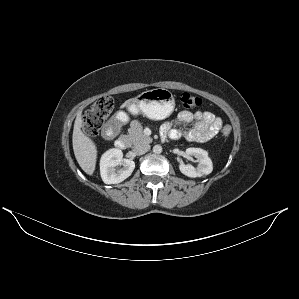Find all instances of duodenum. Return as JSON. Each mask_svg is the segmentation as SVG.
<instances>
[{"mask_svg":"<svg viewBox=\"0 0 299 299\" xmlns=\"http://www.w3.org/2000/svg\"><path fill=\"white\" fill-rule=\"evenodd\" d=\"M119 129L120 127L118 123L111 122L104 128L103 135L106 139L111 140L114 138ZM114 144L118 149L124 150L127 147V140L124 137H119L114 141Z\"/></svg>","mask_w":299,"mask_h":299,"instance_id":"410a0bca","label":"duodenum"}]
</instances>
